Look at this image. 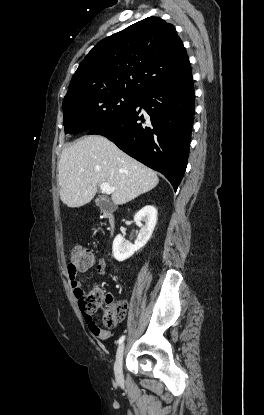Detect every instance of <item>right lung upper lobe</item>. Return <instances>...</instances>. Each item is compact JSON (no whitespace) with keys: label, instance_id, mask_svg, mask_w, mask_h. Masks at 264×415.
I'll use <instances>...</instances> for the list:
<instances>
[{"label":"right lung upper lobe","instance_id":"1","mask_svg":"<svg viewBox=\"0 0 264 415\" xmlns=\"http://www.w3.org/2000/svg\"><path fill=\"white\" fill-rule=\"evenodd\" d=\"M191 71L175 27L148 17L100 41L74 73L64 100L107 92L140 95Z\"/></svg>","mask_w":264,"mask_h":415}]
</instances>
